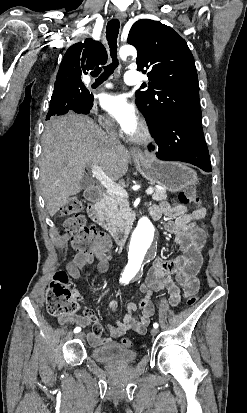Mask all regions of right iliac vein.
<instances>
[{"label": "right iliac vein", "instance_id": "1", "mask_svg": "<svg viewBox=\"0 0 247 413\" xmlns=\"http://www.w3.org/2000/svg\"><path fill=\"white\" fill-rule=\"evenodd\" d=\"M77 338L83 339L84 338V333H79L76 335Z\"/></svg>", "mask_w": 247, "mask_h": 413}]
</instances>
